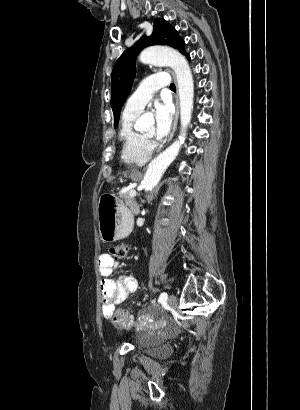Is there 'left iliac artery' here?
<instances>
[{
    "label": "left iliac artery",
    "instance_id": "1",
    "mask_svg": "<svg viewBox=\"0 0 300 410\" xmlns=\"http://www.w3.org/2000/svg\"><path fill=\"white\" fill-rule=\"evenodd\" d=\"M167 297H168L167 293H165V292L161 293V295H160V297H159V299H158V302L161 303V302L167 300Z\"/></svg>",
    "mask_w": 300,
    "mask_h": 410
}]
</instances>
